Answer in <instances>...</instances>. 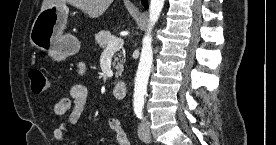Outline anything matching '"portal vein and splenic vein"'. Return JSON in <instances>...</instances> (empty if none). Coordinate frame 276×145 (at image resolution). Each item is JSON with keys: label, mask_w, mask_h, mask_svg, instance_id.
Segmentation results:
<instances>
[{"label": "portal vein and splenic vein", "mask_w": 276, "mask_h": 145, "mask_svg": "<svg viewBox=\"0 0 276 145\" xmlns=\"http://www.w3.org/2000/svg\"><path fill=\"white\" fill-rule=\"evenodd\" d=\"M123 44H124L123 39H121V38H114L113 40H111L108 43L105 51H116V50L120 49L123 46Z\"/></svg>", "instance_id": "obj_1"}]
</instances>
